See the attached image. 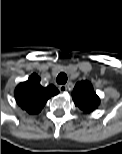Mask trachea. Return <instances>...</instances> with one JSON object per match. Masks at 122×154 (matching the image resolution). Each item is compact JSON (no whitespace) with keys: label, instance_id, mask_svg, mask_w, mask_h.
<instances>
[{"label":"trachea","instance_id":"1","mask_svg":"<svg viewBox=\"0 0 122 154\" xmlns=\"http://www.w3.org/2000/svg\"><path fill=\"white\" fill-rule=\"evenodd\" d=\"M56 81L58 84H65L67 82V75L65 73H60L57 76Z\"/></svg>","mask_w":122,"mask_h":154}]
</instances>
